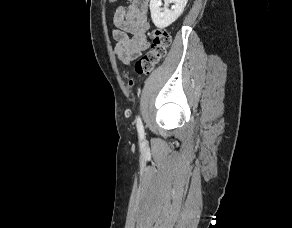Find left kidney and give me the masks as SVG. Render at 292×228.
<instances>
[{"label": "left kidney", "mask_w": 292, "mask_h": 228, "mask_svg": "<svg viewBox=\"0 0 292 228\" xmlns=\"http://www.w3.org/2000/svg\"><path fill=\"white\" fill-rule=\"evenodd\" d=\"M167 4L173 3L171 10L162 9L161 0H150L151 18L158 28H165L178 19L183 13L188 0H165Z\"/></svg>", "instance_id": "left-kidney-1"}]
</instances>
